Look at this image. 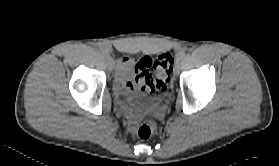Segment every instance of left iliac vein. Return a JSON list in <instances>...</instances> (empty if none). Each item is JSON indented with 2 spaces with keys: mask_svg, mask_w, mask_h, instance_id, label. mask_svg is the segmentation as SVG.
I'll return each instance as SVG.
<instances>
[{
  "mask_svg": "<svg viewBox=\"0 0 279 166\" xmlns=\"http://www.w3.org/2000/svg\"><path fill=\"white\" fill-rule=\"evenodd\" d=\"M179 71H180V61H176L173 72L175 75H177Z\"/></svg>",
  "mask_w": 279,
  "mask_h": 166,
  "instance_id": "obj_1",
  "label": "left iliac vein"
}]
</instances>
